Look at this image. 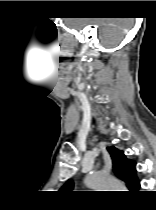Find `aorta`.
I'll return each instance as SVG.
<instances>
[{
	"label": "aorta",
	"mask_w": 156,
	"mask_h": 210,
	"mask_svg": "<svg viewBox=\"0 0 156 210\" xmlns=\"http://www.w3.org/2000/svg\"><path fill=\"white\" fill-rule=\"evenodd\" d=\"M87 187L99 191H122V184L115 178L100 172L89 173L85 177Z\"/></svg>",
	"instance_id": "obj_1"
}]
</instances>
